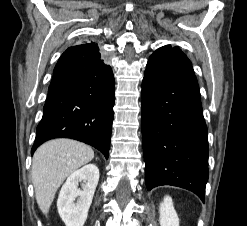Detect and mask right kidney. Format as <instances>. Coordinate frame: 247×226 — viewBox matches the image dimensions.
Here are the masks:
<instances>
[{
    "label": "right kidney",
    "instance_id": "1",
    "mask_svg": "<svg viewBox=\"0 0 247 226\" xmlns=\"http://www.w3.org/2000/svg\"><path fill=\"white\" fill-rule=\"evenodd\" d=\"M98 181L99 169L94 164L83 166L67 178L57 200L59 215L66 226L84 225Z\"/></svg>",
    "mask_w": 247,
    "mask_h": 226
}]
</instances>
